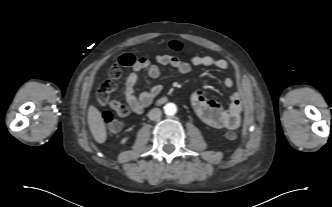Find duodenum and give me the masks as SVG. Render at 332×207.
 <instances>
[{
    "label": "duodenum",
    "instance_id": "duodenum-1",
    "mask_svg": "<svg viewBox=\"0 0 332 207\" xmlns=\"http://www.w3.org/2000/svg\"><path fill=\"white\" fill-rule=\"evenodd\" d=\"M163 101H164V98H160V99H159V102H163Z\"/></svg>",
    "mask_w": 332,
    "mask_h": 207
}]
</instances>
